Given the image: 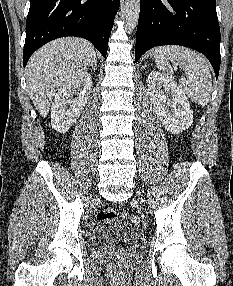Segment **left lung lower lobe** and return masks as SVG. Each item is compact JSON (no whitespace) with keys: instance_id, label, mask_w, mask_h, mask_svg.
Returning a JSON list of instances; mask_svg holds the SVG:
<instances>
[{"instance_id":"1","label":"left lung lower lobe","mask_w":233,"mask_h":286,"mask_svg":"<svg viewBox=\"0 0 233 286\" xmlns=\"http://www.w3.org/2000/svg\"><path fill=\"white\" fill-rule=\"evenodd\" d=\"M168 44L204 54L218 78L221 56L216 0H140L135 62L150 48Z\"/></svg>"}]
</instances>
